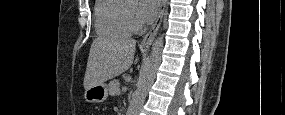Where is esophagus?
<instances>
[{"label": "esophagus", "instance_id": "34e87169", "mask_svg": "<svg viewBox=\"0 0 285 115\" xmlns=\"http://www.w3.org/2000/svg\"><path fill=\"white\" fill-rule=\"evenodd\" d=\"M166 3H167V0L161 1V6H160V11H159L158 17H157L155 23L153 24V26L151 27V29L149 30V32L142 39V41L140 43L141 48H149L151 46L152 42L154 41V39H155V37L159 31V28L161 26V23H162Z\"/></svg>", "mask_w": 285, "mask_h": 115}]
</instances>
